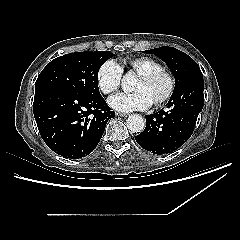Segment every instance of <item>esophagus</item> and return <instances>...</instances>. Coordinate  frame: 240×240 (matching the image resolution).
Instances as JSON below:
<instances>
[{
  "label": "esophagus",
  "mask_w": 240,
  "mask_h": 240,
  "mask_svg": "<svg viewBox=\"0 0 240 240\" xmlns=\"http://www.w3.org/2000/svg\"><path fill=\"white\" fill-rule=\"evenodd\" d=\"M116 115H117V116H120V117H126V116H127V114H125V113H120V112H117Z\"/></svg>",
  "instance_id": "34e87169"
}]
</instances>
